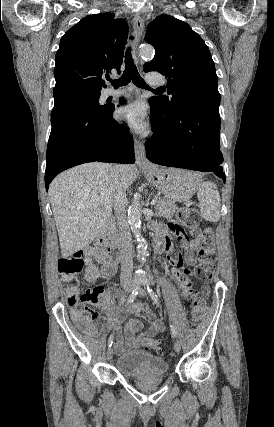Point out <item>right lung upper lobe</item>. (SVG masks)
Segmentation results:
<instances>
[{
  "label": "right lung upper lobe",
  "instance_id": "1",
  "mask_svg": "<svg viewBox=\"0 0 274 427\" xmlns=\"http://www.w3.org/2000/svg\"><path fill=\"white\" fill-rule=\"evenodd\" d=\"M110 12L88 15L61 38L56 53L55 103L75 95L97 94L106 87L103 77L120 72L128 37L125 19Z\"/></svg>",
  "mask_w": 274,
  "mask_h": 427
}]
</instances>
